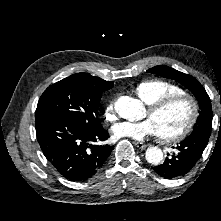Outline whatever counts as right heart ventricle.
<instances>
[{
  "mask_svg": "<svg viewBox=\"0 0 221 221\" xmlns=\"http://www.w3.org/2000/svg\"><path fill=\"white\" fill-rule=\"evenodd\" d=\"M135 92L143 102L150 105L163 97L183 93V90L171 82L152 79L138 83Z\"/></svg>",
  "mask_w": 221,
  "mask_h": 221,
  "instance_id": "right-heart-ventricle-1",
  "label": "right heart ventricle"
}]
</instances>
